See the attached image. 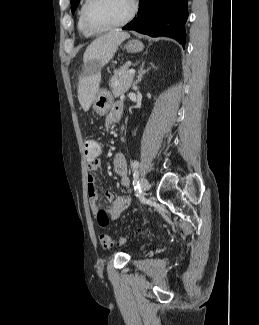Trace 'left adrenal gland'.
Here are the masks:
<instances>
[{"instance_id":"left-adrenal-gland-1","label":"left adrenal gland","mask_w":259,"mask_h":325,"mask_svg":"<svg viewBox=\"0 0 259 325\" xmlns=\"http://www.w3.org/2000/svg\"><path fill=\"white\" fill-rule=\"evenodd\" d=\"M144 65H145V62H143L138 70V76H137V79L136 81L134 82L133 84V87L136 88V85L141 82V80L143 79V76L150 70V69H147L145 70L144 69Z\"/></svg>"}]
</instances>
